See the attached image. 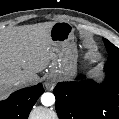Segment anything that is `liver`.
Returning a JSON list of instances; mask_svg holds the SVG:
<instances>
[{"instance_id": "1", "label": "liver", "mask_w": 119, "mask_h": 119, "mask_svg": "<svg viewBox=\"0 0 119 119\" xmlns=\"http://www.w3.org/2000/svg\"><path fill=\"white\" fill-rule=\"evenodd\" d=\"M54 23L0 34V99L13 90L17 78L28 76L30 80L26 84H32L38 79L36 73L49 65L53 57L49 32Z\"/></svg>"}]
</instances>
